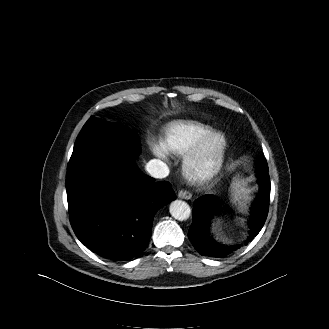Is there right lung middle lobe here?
I'll list each match as a JSON object with an SVG mask.
<instances>
[{
	"label": "right lung middle lobe",
	"instance_id": "dd1d6c3e",
	"mask_svg": "<svg viewBox=\"0 0 329 329\" xmlns=\"http://www.w3.org/2000/svg\"><path fill=\"white\" fill-rule=\"evenodd\" d=\"M104 151L118 152L136 158L140 153V142L130 129L91 117L76 140L67 169Z\"/></svg>",
	"mask_w": 329,
	"mask_h": 329
}]
</instances>
